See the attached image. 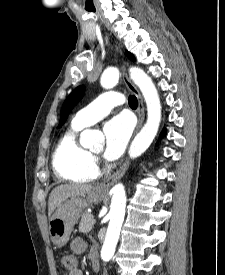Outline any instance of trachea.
I'll return each instance as SVG.
<instances>
[{
    "instance_id": "obj_1",
    "label": "trachea",
    "mask_w": 225,
    "mask_h": 275,
    "mask_svg": "<svg viewBox=\"0 0 225 275\" xmlns=\"http://www.w3.org/2000/svg\"><path fill=\"white\" fill-rule=\"evenodd\" d=\"M129 102V106L132 108H137L138 102H137V98L135 96H130L128 99Z\"/></svg>"
}]
</instances>
